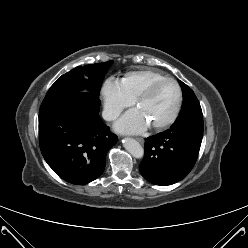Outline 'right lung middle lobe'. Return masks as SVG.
I'll return each mask as SVG.
<instances>
[{"label":"right lung middle lobe","mask_w":248,"mask_h":248,"mask_svg":"<svg viewBox=\"0 0 248 248\" xmlns=\"http://www.w3.org/2000/svg\"><path fill=\"white\" fill-rule=\"evenodd\" d=\"M113 61L78 66L65 73L48 90L40 107L39 114L61 105L79 95L84 88L89 94L98 97L102 80Z\"/></svg>","instance_id":"right-lung-middle-lobe-1"}]
</instances>
